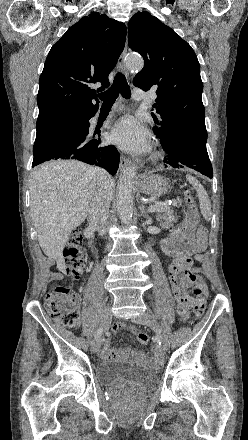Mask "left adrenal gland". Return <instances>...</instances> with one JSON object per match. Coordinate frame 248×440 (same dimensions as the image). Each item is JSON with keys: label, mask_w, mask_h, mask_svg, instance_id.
Instances as JSON below:
<instances>
[{"label": "left adrenal gland", "mask_w": 248, "mask_h": 440, "mask_svg": "<svg viewBox=\"0 0 248 440\" xmlns=\"http://www.w3.org/2000/svg\"><path fill=\"white\" fill-rule=\"evenodd\" d=\"M139 209L141 211V215L145 218H149V215L147 214L145 207L143 205H139Z\"/></svg>", "instance_id": "obj_1"}]
</instances>
